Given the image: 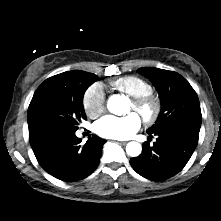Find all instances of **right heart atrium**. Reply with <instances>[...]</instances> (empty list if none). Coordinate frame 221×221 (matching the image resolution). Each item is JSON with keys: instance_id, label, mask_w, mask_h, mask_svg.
I'll use <instances>...</instances> for the list:
<instances>
[{"instance_id": "1", "label": "right heart atrium", "mask_w": 221, "mask_h": 221, "mask_svg": "<svg viewBox=\"0 0 221 221\" xmlns=\"http://www.w3.org/2000/svg\"><path fill=\"white\" fill-rule=\"evenodd\" d=\"M82 105L90 118H97L105 110V93L99 83L90 85L84 92Z\"/></svg>"}]
</instances>
